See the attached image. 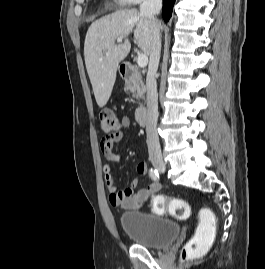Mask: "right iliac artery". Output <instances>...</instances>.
I'll list each match as a JSON object with an SVG mask.
<instances>
[{
    "label": "right iliac artery",
    "instance_id": "obj_1",
    "mask_svg": "<svg viewBox=\"0 0 265 269\" xmlns=\"http://www.w3.org/2000/svg\"><path fill=\"white\" fill-rule=\"evenodd\" d=\"M149 176L151 177V179L158 181L159 180V173L156 169L151 168L149 170Z\"/></svg>",
    "mask_w": 265,
    "mask_h": 269
}]
</instances>
